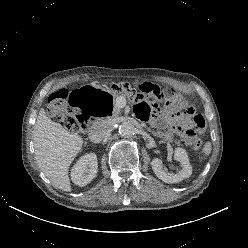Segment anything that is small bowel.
Masks as SVG:
<instances>
[{"mask_svg": "<svg viewBox=\"0 0 248 248\" xmlns=\"http://www.w3.org/2000/svg\"><path fill=\"white\" fill-rule=\"evenodd\" d=\"M135 114L139 119L150 121L157 126H169L173 132L180 135L188 144H192L193 139L196 137V133L189 127L188 115H177L174 113L164 115L154 105L149 103L137 104L135 106Z\"/></svg>", "mask_w": 248, "mask_h": 248, "instance_id": "obj_1", "label": "small bowel"}]
</instances>
